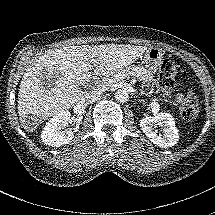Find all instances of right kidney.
Returning a JSON list of instances; mask_svg holds the SVG:
<instances>
[{
  "label": "right kidney",
  "mask_w": 215,
  "mask_h": 215,
  "mask_svg": "<svg viewBox=\"0 0 215 215\" xmlns=\"http://www.w3.org/2000/svg\"><path fill=\"white\" fill-rule=\"evenodd\" d=\"M70 112L61 111L46 123L41 139L45 145L60 147L68 144L74 138V131L68 130L61 133V129L69 124Z\"/></svg>",
  "instance_id": "right-kidney-1"
}]
</instances>
